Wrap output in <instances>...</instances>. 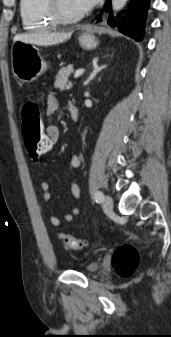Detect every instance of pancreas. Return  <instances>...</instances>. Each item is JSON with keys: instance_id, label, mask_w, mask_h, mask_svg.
I'll use <instances>...</instances> for the list:
<instances>
[{"instance_id": "1", "label": "pancreas", "mask_w": 171, "mask_h": 337, "mask_svg": "<svg viewBox=\"0 0 171 337\" xmlns=\"http://www.w3.org/2000/svg\"><path fill=\"white\" fill-rule=\"evenodd\" d=\"M73 72V66L69 65L60 69L56 76L54 87L61 91L72 88V83L68 80L69 75Z\"/></svg>"}]
</instances>
